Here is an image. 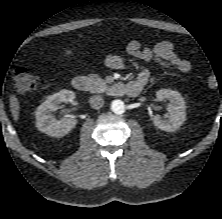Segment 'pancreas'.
<instances>
[{"label": "pancreas", "instance_id": "1", "mask_svg": "<svg viewBox=\"0 0 222 219\" xmlns=\"http://www.w3.org/2000/svg\"><path fill=\"white\" fill-rule=\"evenodd\" d=\"M107 83L101 79L97 74H89L88 76V90L92 93H102L106 91Z\"/></svg>", "mask_w": 222, "mask_h": 219}]
</instances>
